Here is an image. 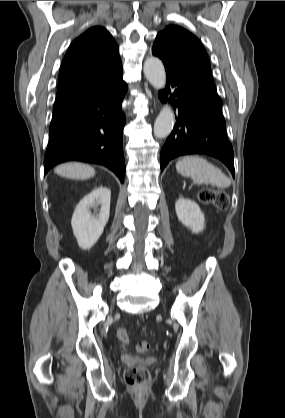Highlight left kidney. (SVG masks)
<instances>
[{
    "label": "left kidney",
    "instance_id": "1",
    "mask_svg": "<svg viewBox=\"0 0 285 418\" xmlns=\"http://www.w3.org/2000/svg\"><path fill=\"white\" fill-rule=\"evenodd\" d=\"M175 210L179 221L193 233L204 229V215L196 202L181 197L175 203Z\"/></svg>",
    "mask_w": 285,
    "mask_h": 418
}]
</instances>
